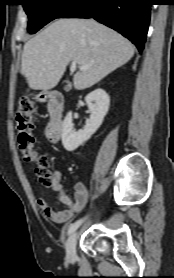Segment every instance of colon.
<instances>
[{"instance_id":"colon-1","label":"colon","mask_w":174,"mask_h":278,"mask_svg":"<svg viewBox=\"0 0 174 278\" xmlns=\"http://www.w3.org/2000/svg\"><path fill=\"white\" fill-rule=\"evenodd\" d=\"M35 102L30 97H24L20 100L18 109L15 113V125L17 131L18 148L27 161L37 159L38 166L35 174L38 180L45 187H51L54 182V174L49 167L48 159L45 156L37 157L33 147L32 136V115L35 111Z\"/></svg>"}]
</instances>
